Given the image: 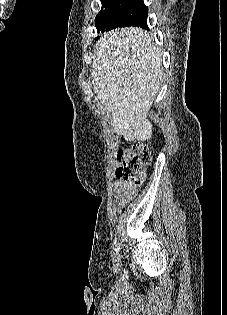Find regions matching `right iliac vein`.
<instances>
[{"mask_svg": "<svg viewBox=\"0 0 227 315\" xmlns=\"http://www.w3.org/2000/svg\"><path fill=\"white\" fill-rule=\"evenodd\" d=\"M112 262L115 268H117L120 264V258H119V254L116 253L114 254L113 258H112Z\"/></svg>", "mask_w": 227, "mask_h": 315, "instance_id": "63e3f726", "label": "right iliac vein"}]
</instances>
